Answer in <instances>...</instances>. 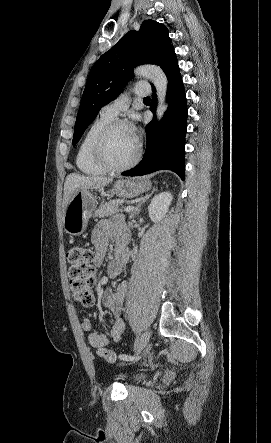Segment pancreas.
<instances>
[{"label": "pancreas", "mask_w": 271, "mask_h": 443, "mask_svg": "<svg viewBox=\"0 0 271 443\" xmlns=\"http://www.w3.org/2000/svg\"><path fill=\"white\" fill-rule=\"evenodd\" d=\"M121 202L120 200H112V202H106L102 204L99 210H96L93 218H106V216H115L120 212Z\"/></svg>", "instance_id": "obj_1"}]
</instances>
